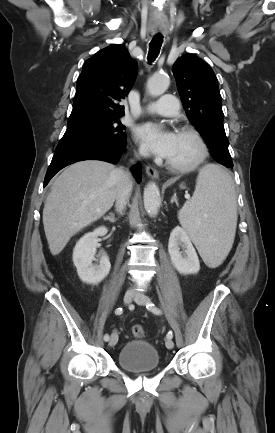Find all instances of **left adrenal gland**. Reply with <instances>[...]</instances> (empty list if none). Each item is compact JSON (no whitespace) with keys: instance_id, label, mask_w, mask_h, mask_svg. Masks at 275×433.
<instances>
[{"instance_id":"1","label":"left adrenal gland","mask_w":275,"mask_h":433,"mask_svg":"<svg viewBox=\"0 0 275 433\" xmlns=\"http://www.w3.org/2000/svg\"><path fill=\"white\" fill-rule=\"evenodd\" d=\"M173 202H175L176 204H178V203H177V196H176V193H174V195H173V197H172V199H171V203H173Z\"/></svg>"}]
</instances>
